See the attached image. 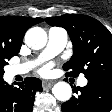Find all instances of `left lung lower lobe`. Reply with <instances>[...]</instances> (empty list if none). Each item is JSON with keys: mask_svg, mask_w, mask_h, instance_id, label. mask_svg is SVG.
Here are the masks:
<instances>
[{"mask_svg": "<svg viewBox=\"0 0 112 112\" xmlns=\"http://www.w3.org/2000/svg\"><path fill=\"white\" fill-rule=\"evenodd\" d=\"M78 96L64 102L62 112H109L112 109V79H88L85 87L74 90Z\"/></svg>", "mask_w": 112, "mask_h": 112, "instance_id": "obj_1", "label": "left lung lower lobe"}]
</instances>
